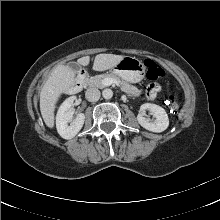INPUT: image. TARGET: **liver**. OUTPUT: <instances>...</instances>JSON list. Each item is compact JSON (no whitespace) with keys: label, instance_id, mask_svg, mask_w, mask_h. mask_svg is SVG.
<instances>
[{"label":"liver","instance_id":"6515ba94","mask_svg":"<svg viewBox=\"0 0 220 220\" xmlns=\"http://www.w3.org/2000/svg\"><path fill=\"white\" fill-rule=\"evenodd\" d=\"M124 56L115 54H98L93 63V70L105 71L113 68ZM89 56L81 57L77 64L87 66ZM76 72L69 65H57L44 83L40 92V111L45 124L54 127V111L61 94L68 92L75 84Z\"/></svg>","mask_w":220,"mask_h":220}]
</instances>
